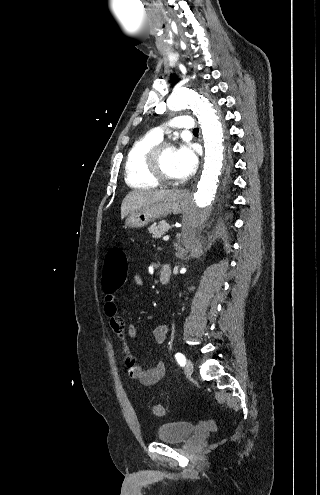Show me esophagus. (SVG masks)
I'll return each instance as SVG.
<instances>
[{"label": "esophagus", "instance_id": "esophagus-1", "mask_svg": "<svg viewBox=\"0 0 320 495\" xmlns=\"http://www.w3.org/2000/svg\"><path fill=\"white\" fill-rule=\"evenodd\" d=\"M180 194H182L184 196H188L189 195V191L188 190H181L180 191Z\"/></svg>", "mask_w": 320, "mask_h": 495}]
</instances>
